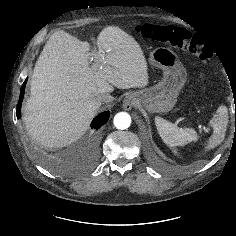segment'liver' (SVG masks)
Segmentation results:
<instances>
[{
    "label": "liver",
    "instance_id": "liver-1",
    "mask_svg": "<svg viewBox=\"0 0 236 236\" xmlns=\"http://www.w3.org/2000/svg\"><path fill=\"white\" fill-rule=\"evenodd\" d=\"M91 44L58 30L46 42L34 67L31 96L23 108L28 134L45 147L78 140L99 110L100 96L114 87L148 84V66L134 37L106 26ZM94 61L91 64V61Z\"/></svg>",
    "mask_w": 236,
    "mask_h": 236
}]
</instances>
